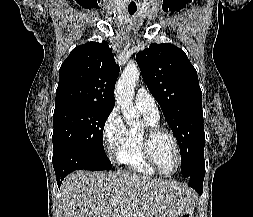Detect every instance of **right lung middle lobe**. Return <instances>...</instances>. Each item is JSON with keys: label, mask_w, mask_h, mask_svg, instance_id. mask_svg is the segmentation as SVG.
Returning a JSON list of instances; mask_svg holds the SVG:
<instances>
[{"label": "right lung middle lobe", "mask_w": 253, "mask_h": 217, "mask_svg": "<svg viewBox=\"0 0 253 217\" xmlns=\"http://www.w3.org/2000/svg\"><path fill=\"white\" fill-rule=\"evenodd\" d=\"M112 109L68 103L55 106L53 156L69 150L87 155L97 170H110L112 165L103 147V129Z\"/></svg>", "instance_id": "obj_1"}]
</instances>
